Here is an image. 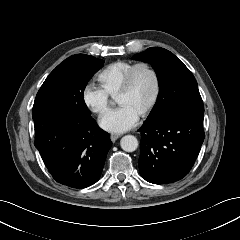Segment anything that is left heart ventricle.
<instances>
[{"label": "left heart ventricle", "instance_id": "1", "mask_svg": "<svg viewBox=\"0 0 240 240\" xmlns=\"http://www.w3.org/2000/svg\"><path fill=\"white\" fill-rule=\"evenodd\" d=\"M155 91V82L152 74L144 68L136 71L131 90L117 98L120 106H127L138 115L150 103Z\"/></svg>", "mask_w": 240, "mask_h": 240}]
</instances>
